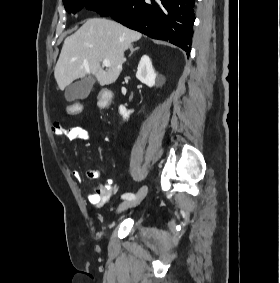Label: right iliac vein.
Segmentation results:
<instances>
[{
	"label": "right iliac vein",
	"instance_id": "1",
	"mask_svg": "<svg viewBox=\"0 0 280 283\" xmlns=\"http://www.w3.org/2000/svg\"><path fill=\"white\" fill-rule=\"evenodd\" d=\"M148 193L147 186H143L136 193L135 198L123 201L117 208V213H121L129 208L135 207L140 204V202L146 197Z\"/></svg>",
	"mask_w": 280,
	"mask_h": 283
}]
</instances>
